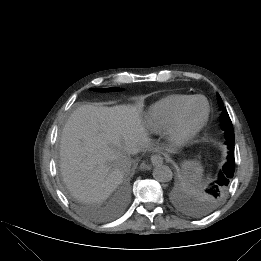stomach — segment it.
<instances>
[{"mask_svg": "<svg viewBox=\"0 0 261 261\" xmlns=\"http://www.w3.org/2000/svg\"><path fill=\"white\" fill-rule=\"evenodd\" d=\"M181 174L186 183L192 184L201 177L202 167L198 161H184L181 164Z\"/></svg>", "mask_w": 261, "mask_h": 261, "instance_id": "0dacf381", "label": "stomach"}]
</instances>
